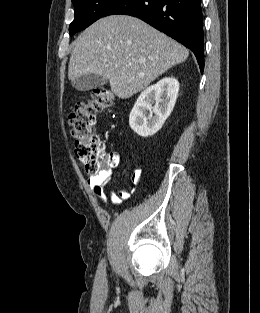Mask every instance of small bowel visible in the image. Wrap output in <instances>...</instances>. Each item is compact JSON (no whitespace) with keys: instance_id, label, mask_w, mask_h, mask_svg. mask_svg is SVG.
<instances>
[{"instance_id":"c3829d8e","label":"small bowel","mask_w":260,"mask_h":313,"mask_svg":"<svg viewBox=\"0 0 260 313\" xmlns=\"http://www.w3.org/2000/svg\"><path fill=\"white\" fill-rule=\"evenodd\" d=\"M114 167L118 168L119 170H124L126 168V165L121 163L120 158L118 156H115ZM111 174L112 169H110L107 172H102L98 175L88 176L86 179V183L91 188L92 192L100 200L101 203L105 205L109 197L113 205L120 207L123 201L127 200L130 197V193L127 188L119 191L110 189L107 195L105 187L109 182ZM141 175H142L141 170L139 169L135 170L131 175L128 188L131 185H136L139 182Z\"/></svg>"}]
</instances>
